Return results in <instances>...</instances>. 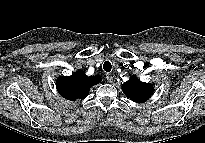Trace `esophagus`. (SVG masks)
Wrapping results in <instances>:
<instances>
[{"label":"esophagus","mask_w":205,"mask_h":143,"mask_svg":"<svg viewBox=\"0 0 205 143\" xmlns=\"http://www.w3.org/2000/svg\"><path fill=\"white\" fill-rule=\"evenodd\" d=\"M106 79L109 83H112L113 82V76L111 74H107L106 75Z\"/></svg>","instance_id":"34e87169"}]
</instances>
